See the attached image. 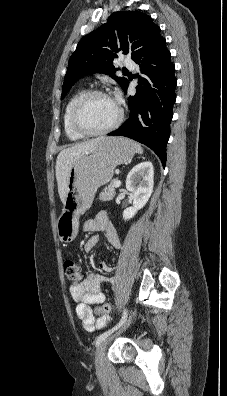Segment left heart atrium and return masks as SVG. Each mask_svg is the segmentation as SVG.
Returning a JSON list of instances; mask_svg holds the SVG:
<instances>
[{
  "instance_id": "39dd6f15",
  "label": "left heart atrium",
  "mask_w": 227,
  "mask_h": 396,
  "mask_svg": "<svg viewBox=\"0 0 227 396\" xmlns=\"http://www.w3.org/2000/svg\"><path fill=\"white\" fill-rule=\"evenodd\" d=\"M118 101H119V98L117 97L116 100H114V102L117 104Z\"/></svg>"
}]
</instances>
